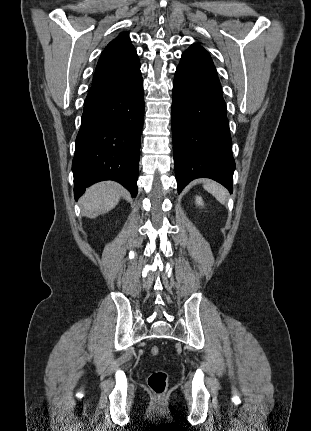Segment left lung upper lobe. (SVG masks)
Returning <instances> with one entry per match:
<instances>
[{
    "instance_id": "obj_1",
    "label": "left lung upper lobe",
    "mask_w": 311,
    "mask_h": 431,
    "mask_svg": "<svg viewBox=\"0 0 311 431\" xmlns=\"http://www.w3.org/2000/svg\"><path fill=\"white\" fill-rule=\"evenodd\" d=\"M189 49L204 50V48H203V47H201V46H200V45H198V44H193Z\"/></svg>"
}]
</instances>
